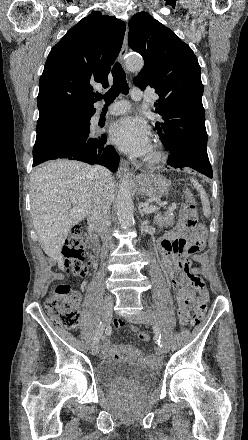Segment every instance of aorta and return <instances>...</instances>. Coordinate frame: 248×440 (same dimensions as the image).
Wrapping results in <instances>:
<instances>
[{
	"label": "aorta",
	"mask_w": 248,
	"mask_h": 440,
	"mask_svg": "<svg viewBox=\"0 0 248 440\" xmlns=\"http://www.w3.org/2000/svg\"><path fill=\"white\" fill-rule=\"evenodd\" d=\"M126 68L130 71H139L144 62L141 57L130 56L125 62ZM130 174L123 177L120 181L116 197V210L119 223L122 228L128 229L134 223V205L131 196Z\"/></svg>",
	"instance_id": "762f6f07"
}]
</instances>
